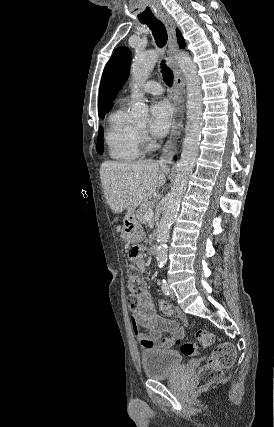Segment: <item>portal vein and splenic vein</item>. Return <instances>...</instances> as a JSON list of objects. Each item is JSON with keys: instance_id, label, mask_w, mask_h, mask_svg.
I'll return each mask as SVG.
<instances>
[{"instance_id": "1", "label": "portal vein and splenic vein", "mask_w": 274, "mask_h": 427, "mask_svg": "<svg viewBox=\"0 0 274 427\" xmlns=\"http://www.w3.org/2000/svg\"><path fill=\"white\" fill-rule=\"evenodd\" d=\"M153 217H154L153 210H148V212H146L145 214L146 221H150V219H153Z\"/></svg>"}]
</instances>
